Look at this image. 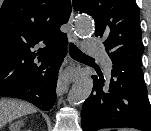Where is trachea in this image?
Returning <instances> with one entry per match:
<instances>
[{"instance_id":"3493384b","label":"trachea","mask_w":151,"mask_h":131,"mask_svg":"<svg viewBox=\"0 0 151 131\" xmlns=\"http://www.w3.org/2000/svg\"><path fill=\"white\" fill-rule=\"evenodd\" d=\"M69 54L76 58H91L79 50L73 43L69 44Z\"/></svg>"}]
</instances>
